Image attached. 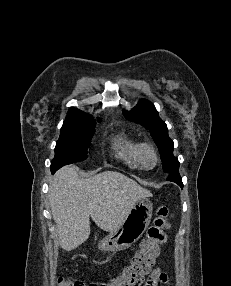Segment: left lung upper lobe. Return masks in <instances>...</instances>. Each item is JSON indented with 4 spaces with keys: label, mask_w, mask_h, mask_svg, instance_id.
Here are the masks:
<instances>
[{
    "label": "left lung upper lobe",
    "mask_w": 231,
    "mask_h": 286,
    "mask_svg": "<svg viewBox=\"0 0 231 286\" xmlns=\"http://www.w3.org/2000/svg\"><path fill=\"white\" fill-rule=\"evenodd\" d=\"M125 117L130 121L141 124L150 131L155 143L158 146L162 166L168 175L179 169V161L173 156V141L168 137L166 124L159 118L154 105L142 99L130 112H124Z\"/></svg>",
    "instance_id": "left-lung-upper-lobe-1"
}]
</instances>
